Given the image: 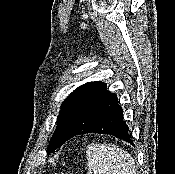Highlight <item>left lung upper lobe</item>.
<instances>
[{"instance_id": "left-lung-upper-lobe-1", "label": "left lung upper lobe", "mask_w": 175, "mask_h": 174, "mask_svg": "<svg viewBox=\"0 0 175 174\" xmlns=\"http://www.w3.org/2000/svg\"><path fill=\"white\" fill-rule=\"evenodd\" d=\"M102 82H89L76 88L63 102L58 116L57 128L48 146V153L63 145V135L69 119L79 101Z\"/></svg>"}]
</instances>
